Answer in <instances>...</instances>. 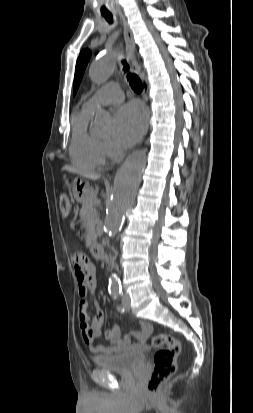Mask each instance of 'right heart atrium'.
Returning <instances> with one entry per match:
<instances>
[{
  "mask_svg": "<svg viewBox=\"0 0 253 413\" xmlns=\"http://www.w3.org/2000/svg\"><path fill=\"white\" fill-rule=\"evenodd\" d=\"M103 148L109 157H114L118 153L117 147L111 141H103Z\"/></svg>",
  "mask_w": 253,
  "mask_h": 413,
  "instance_id": "1",
  "label": "right heart atrium"
}]
</instances>
